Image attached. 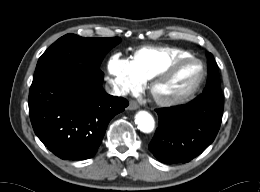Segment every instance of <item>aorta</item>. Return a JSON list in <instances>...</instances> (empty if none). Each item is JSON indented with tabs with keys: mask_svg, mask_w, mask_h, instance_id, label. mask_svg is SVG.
<instances>
[{
	"mask_svg": "<svg viewBox=\"0 0 260 192\" xmlns=\"http://www.w3.org/2000/svg\"><path fill=\"white\" fill-rule=\"evenodd\" d=\"M135 123L143 133H151L155 127L154 118L147 111H138L135 116Z\"/></svg>",
	"mask_w": 260,
	"mask_h": 192,
	"instance_id": "762f6f07",
	"label": "aorta"
}]
</instances>
